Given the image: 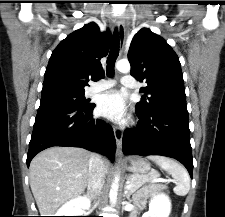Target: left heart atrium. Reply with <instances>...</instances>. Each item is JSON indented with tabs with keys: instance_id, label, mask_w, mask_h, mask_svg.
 I'll return each instance as SVG.
<instances>
[{
	"instance_id": "left-heart-atrium-1",
	"label": "left heart atrium",
	"mask_w": 225,
	"mask_h": 217,
	"mask_svg": "<svg viewBox=\"0 0 225 217\" xmlns=\"http://www.w3.org/2000/svg\"><path fill=\"white\" fill-rule=\"evenodd\" d=\"M98 112L115 121H121L126 115V101L122 93L110 91L98 101Z\"/></svg>"
}]
</instances>
